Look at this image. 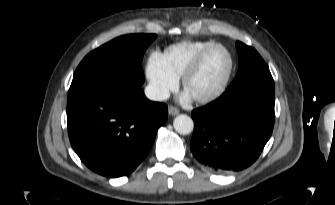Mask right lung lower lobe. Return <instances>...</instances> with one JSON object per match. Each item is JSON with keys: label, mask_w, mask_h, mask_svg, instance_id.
<instances>
[{"label": "right lung lower lobe", "mask_w": 335, "mask_h": 205, "mask_svg": "<svg viewBox=\"0 0 335 205\" xmlns=\"http://www.w3.org/2000/svg\"><path fill=\"white\" fill-rule=\"evenodd\" d=\"M167 115L166 104L149 101L140 87L68 95L70 143L86 166L107 177L128 175L139 165Z\"/></svg>", "instance_id": "right-lung-lower-lobe-1"}]
</instances>
